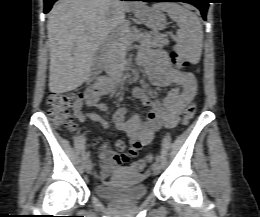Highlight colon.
Instances as JSON below:
<instances>
[{"label":"colon","mask_w":260,"mask_h":217,"mask_svg":"<svg viewBox=\"0 0 260 217\" xmlns=\"http://www.w3.org/2000/svg\"><path fill=\"white\" fill-rule=\"evenodd\" d=\"M170 61L176 68H182L187 64V60L176 52L169 55ZM83 95L78 93H64L57 94L51 93L47 97V103L50 106L48 117L54 122L55 125L65 128L70 131L76 129V124L70 113V108L77 104H81ZM197 110L196 104L192 103L187 106L183 112V124H188L195 116ZM151 157L138 160L133 163V168L137 172L143 171L147 164L151 161Z\"/></svg>","instance_id":"1"}]
</instances>
